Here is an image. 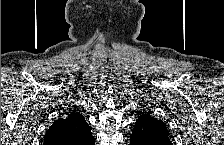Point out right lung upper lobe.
Returning <instances> with one entry per match:
<instances>
[{"label": "right lung upper lobe", "instance_id": "1", "mask_svg": "<svg viewBox=\"0 0 224 145\" xmlns=\"http://www.w3.org/2000/svg\"><path fill=\"white\" fill-rule=\"evenodd\" d=\"M93 140L84 117L73 111L49 127L44 136V145H91Z\"/></svg>", "mask_w": 224, "mask_h": 145}]
</instances>
